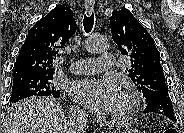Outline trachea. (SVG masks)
I'll list each match as a JSON object with an SVG mask.
<instances>
[{"instance_id":"1","label":"trachea","mask_w":184,"mask_h":133,"mask_svg":"<svg viewBox=\"0 0 184 133\" xmlns=\"http://www.w3.org/2000/svg\"><path fill=\"white\" fill-rule=\"evenodd\" d=\"M94 24V14L85 15L83 19V26L86 33L91 32Z\"/></svg>"}]
</instances>
